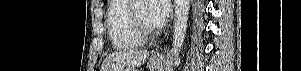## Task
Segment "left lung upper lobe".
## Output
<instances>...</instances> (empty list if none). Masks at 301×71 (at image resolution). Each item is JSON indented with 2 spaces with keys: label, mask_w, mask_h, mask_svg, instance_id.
<instances>
[{
  "label": "left lung upper lobe",
  "mask_w": 301,
  "mask_h": 71,
  "mask_svg": "<svg viewBox=\"0 0 301 71\" xmlns=\"http://www.w3.org/2000/svg\"><path fill=\"white\" fill-rule=\"evenodd\" d=\"M106 1H107V0H105V3H106ZM196 26H197V23H196ZM196 33H199V32L197 31V27H196Z\"/></svg>",
  "instance_id": "obj_1"
}]
</instances>
